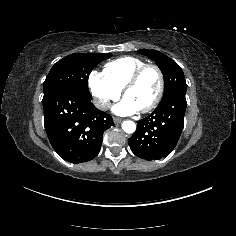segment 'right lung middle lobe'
<instances>
[{
  "label": "right lung middle lobe",
  "mask_w": 236,
  "mask_h": 236,
  "mask_svg": "<svg viewBox=\"0 0 236 236\" xmlns=\"http://www.w3.org/2000/svg\"><path fill=\"white\" fill-rule=\"evenodd\" d=\"M112 54L74 53L55 63L44 82V96L57 89H67L91 98L88 77L93 68Z\"/></svg>",
  "instance_id": "obj_1"
}]
</instances>
